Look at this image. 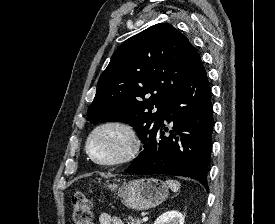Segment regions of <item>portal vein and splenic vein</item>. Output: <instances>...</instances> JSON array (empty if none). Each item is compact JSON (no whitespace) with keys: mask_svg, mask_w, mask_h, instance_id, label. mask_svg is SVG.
I'll return each instance as SVG.
<instances>
[{"mask_svg":"<svg viewBox=\"0 0 275 224\" xmlns=\"http://www.w3.org/2000/svg\"><path fill=\"white\" fill-rule=\"evenodd\" d=\"M143 222H147L148 221V217L147 216H144L143 219H142Z\"/></svg>","mask_w":275,"mask_h":224,"instance_id":"18ae733b","label":"portal vein and splenic vein"}]
</instances>
